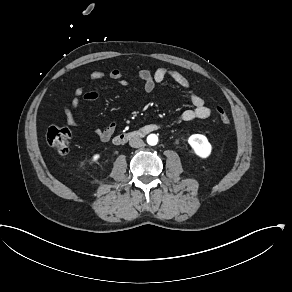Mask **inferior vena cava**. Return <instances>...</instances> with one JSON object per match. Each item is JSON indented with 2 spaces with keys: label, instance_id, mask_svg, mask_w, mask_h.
<instances>
[{
  "label": "inferior vena cava",
  "instance_id": "602c4592",
  "mask_svg": "<svg viewBox=\"0 0 292 292\" xmlns=\"http://www.w3.org/2000/svg\"><path fill=\"white\" fill-rule=\"evenodd\" d=\"M129 145L132 148H141L144 146V142L140 138H133L132 140H130Z\"/></svg>",
  "mask_w": 292,
  "mask_h": 292
}]
</instances>
